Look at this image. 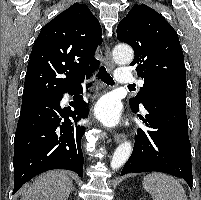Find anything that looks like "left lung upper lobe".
<instances>
[{"mask_svg": "<svg viewBox=\"0 0 201 200\" xmlns=\"http://www.w3.org/2000/svg\"><path fill=\"white\" fill-rule=\"evenodd\" d=\"M117 38L128 43L135 58L130 65L144 80L137 96L130 99L139 109L150 95L177 91L186 93V69L179 38L159 13L145 4L135 5L117 27Z\"/></svg>", "mask_w": 201, "mask_h": 200, "instance_id": "1", "label": "left lung upper lobe"}]
</instances>
